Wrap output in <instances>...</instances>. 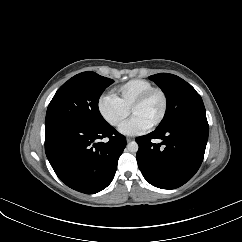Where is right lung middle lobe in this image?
Wrapping results in <instances>:
<instances>
[{"instance_id": "right-lung-middle-lobe-1", "label": "right lung middle lobe", "mask_w": 242, "mask_h": 242, "mask_svg": "<svg viewBox=\"0 0 242 242\" xmlns=\"http://www.w3.org/2000/svg\"><path fill=\"white\" fill-rule=\"evenodd\" d=\"M113 82L91 71L75 75L55 93L47 109L45 125L61 121L91 126L107 124L99 112L98 101Z\"/></svg>"}]
</instances>
